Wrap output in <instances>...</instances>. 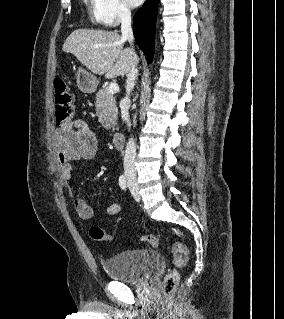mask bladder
Masks as SVG:
<instances>
[{
    "label": "bladder",
    "mask_w": 284,
    "mask_h": 319,
    "mask_svg": "<svg viewBox=\"0 0 284 319\" xmlns=\"http://www.w3.org/2000/svg\"><path fill=\"white\" fill-rule=\"evenodd\" d=\"M160 257L153 249L119 252L104 260L106 273L114 280L137 282L150 275L159 265Z\"/></svg>",
    "instance_id": "1"
}]
</instances>
